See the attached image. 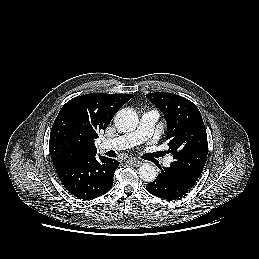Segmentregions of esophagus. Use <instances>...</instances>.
<instances>
[{
  "mask_svg": "<svg viewBox=\"0 0 259 259\" xmlns=\"http://www.w3.org/2000/svg\"><path fill=\"white\" fill-rule=\"evenodd\" d=\"M127 162L134 167H138L141 165V162L136 158H130Z\"/></svg>",
  "mask_w": 259,
  "mask_h": 259,
  "instance_id": "obj_1",
  "label": "esophagus"
}]
</instances>
